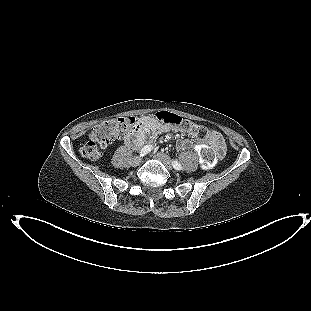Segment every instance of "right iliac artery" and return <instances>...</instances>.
I'll use <instances>...</instances> for the list:
<instances>
[{
    "label": "right iliac artery",
    "instance_id": "right-iliac-artery-1",
    "mask_svg": "<svg viewBox=\"0 0 311 311\" xmlns=\"http://www.w3.org/2000/svg\"><path fill=\"white\" fill-rule=\"evenodd\" d=\"M152 145H146L144 146L141 151H140V156H145L146 154H148L151 150H152Z\"/></svg>",
    "mask_w": 311,
    "mask_h": 311
}]
</instances>
